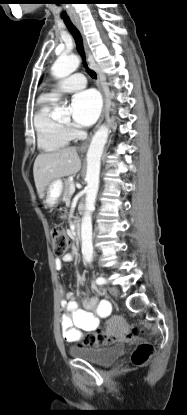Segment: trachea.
<instances>
[{"label": "trachea", "mask_w": 187, "mask_h": 415, "mask_svg": "<svg viewBox=\"0 0 187 415\" xmlns=\"http://www.w3.org/2000/svg\"><path fill=\"white\" fill-rule=\"evenodd\" d=\"M64 23H65L67 29L69 30V32L74 37L77 50L83 58V64L87 67V64H86V61H85V55H84L83 40H82V36H81L79 30L74 26V24L69 19H64ZM88 73H89L91 78H93V79L97 78V75L94 71L89 70Z\"/></svg>", "instance_id": "trachea-1"}]
</instances>
